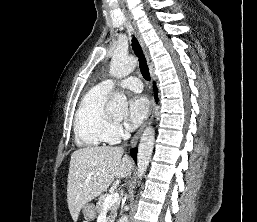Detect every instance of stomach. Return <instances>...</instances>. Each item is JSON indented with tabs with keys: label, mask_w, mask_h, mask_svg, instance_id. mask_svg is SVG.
<instances>
[{
	"label": "stomach",
	"mask_w": 257,
	"mask_h": 222,
	"mask_svg": "<svg viewBox=\"0 0 257 222\" xmlns=\"http://www.w3.org/2000/svg\"><path fill=\"white\" fill-rule=\"evenodd\" d=\"M82 213L87 221L94 220L96 217V208L93 204L87 203L82 207Z\"/></svg>",
	"instance_id": "obj_1"
}]
</instances>
